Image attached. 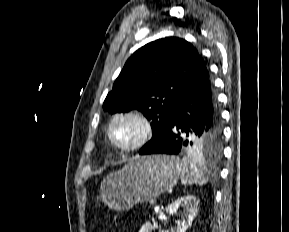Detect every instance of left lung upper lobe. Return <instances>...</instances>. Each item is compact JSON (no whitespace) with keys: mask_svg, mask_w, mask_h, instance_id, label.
Returning <instances> with one entry per match:
<instances>
[{"mask_svg":"<svg viewBox=\"0 0 289 232\" xmlns=\"http://www.w3.org/2000/svg\"><path fill=\"white\" fill-rule=\"evenodd\" d=\"M205 65L198 51L181 38L150 42L127 60L103 108L110 113L138 109L152 120L153 137L143 149L167 129L178 101ZM221 135L220 126L216 136L197 139L187 150L219 153Z\"/></svg>","mask_w":289,"mask_h":232,"instance_id":"5c2ea615","label":"left lung upper lobe"}]
</instances>
